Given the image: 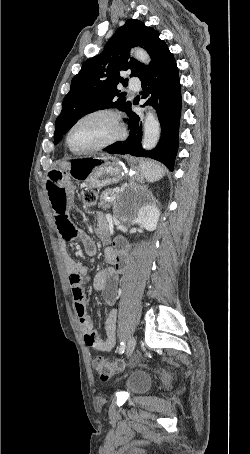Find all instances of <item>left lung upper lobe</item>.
Instances as JSON below:
<instances>
[{
    "label": "left lung upper lobe",
    "mask_w": 250,
    "mask_h": 454,
    "mask_svg": "<svg viewBox=\"0 0 250 454\" xmlns=\"http://www.w3.org/2000/svg\"><path fill=\"white\" fill-rule=\"evenodd\" d=\"M143 47L151 56L149 66L130 58L132 47ZM159 33L136 19L127 20L107 42L103 52L87 60L74 76L69 93L65 96L62 111L56 119L54 144L84 115L106 108L127 112L131 102L117 89L124 83L123 71L130 70L140 79L151 72L169 53Z\"/></svg>",
    "instance_id": "obj_1"
}]
</instances>
